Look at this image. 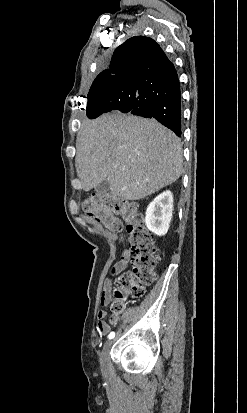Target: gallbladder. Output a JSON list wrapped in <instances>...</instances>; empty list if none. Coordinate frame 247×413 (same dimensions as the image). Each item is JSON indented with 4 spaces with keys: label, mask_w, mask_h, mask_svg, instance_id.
Wrapping results in <instances>:
<instances>
[{
    "label": "gallbladder",
    "mask_w": 247,
    "mask_h": 413,
    "mask_svg": "<svg viewBox=\"0 0 247 413\" xmlns=\"http://www.w3.org/2000/svg\"><path fill=\"white\" fill-rule=\"evenodd\" d=\"M95 190L99 196H104V194H107L108 190H110L108 180H102L98 186H95Z\"/></svg>",
    "instance_id": "obj_1"
}]
</instances>
